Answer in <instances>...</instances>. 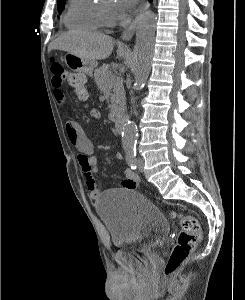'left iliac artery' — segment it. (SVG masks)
<instances>
[{"label":"left iliac artery","instance_id":"obj_1","mask_svg":"<svg viewBox=\"0 0 245 300\" xmlns=\"http://www.w3.org/2000/svg\"><path fill=\"white\" fill-rule=\"evenodd\" d=\"M125 152L128 165L135 170L137 168L136 146L126 147Z\"/></svg>","mask_w":245,"mask_h":300}]
</instances>
